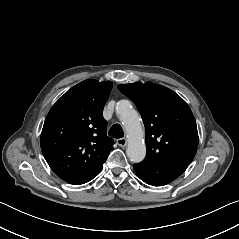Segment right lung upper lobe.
I'll return each instance as SVG.
<instances>
[{
    "instance_id": "right-lung-upper-lobe-1",
    "label": "right lung upper lobe",
    "mask_w": 239,
    "mask_h": 239,
    "mask_svg": "<svg viewBox=\"0 0 239 239\" xmlns=\"http://www.w3.org/2000/svg\"><path fill=\"white\" fill-rule=\"evenodd\" d=\"M112 82L85 80L50 109L40 136L42 153L58 176H91L113 148L102 116Z\"/></svg>"
}]
</instances>
